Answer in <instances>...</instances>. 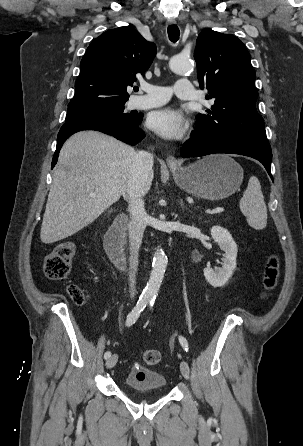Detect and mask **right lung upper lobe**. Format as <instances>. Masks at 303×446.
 <instances>
[{
	"label": "right lung upper lobe",
	"mask_w": 303,
	"mask_h": 446,
	"mask_svg": "<svg viewBox=\"0 0 303 446\" xmlns=\"http://www.w3.org/2000/svg\"><path fill=\"white\" fill-rule=\"evenodd\" d=\"M156 55V46L130 26L111 29L94 39L80 63L75 97L68 110H90L125 103L138 74Z\"/></svg>",
	"instance_id": "right-lung-upper-lobe-1"
}]
</instances>
